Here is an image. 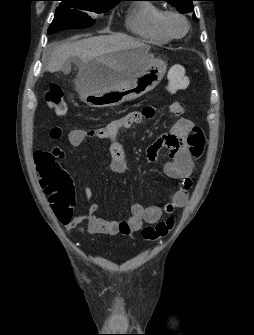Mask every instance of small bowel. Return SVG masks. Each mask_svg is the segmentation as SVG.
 Wrapping results in <instances>:
<instances>
[{"label":"small bowel","instance_id":"c3829d8e","mask_svg":"<svg viewBox=\"0 0 254 335\" xmlns=\"http://www.w3.org/2000/svg\"><path fill=\"white\" fill-rule=\"evenodd\" d=\"M179 100L174 98L167 110L168 115H184V108H180ZM154 110L151 107L140 111L130 112L122 117L109 122L105 127L98 129H74L68 134V141L72 147H78L90 139L105 140L109 144L110 162L109 169L113 173H123L127 169L126 154L122 144L118 140V134L123 129L131 128L139 124L142 119L151 117ZM193 124L189 119L180 117L173 125L169 134L161 136L146 149L147 159L155 161L162 149L168 150L169 160L164 166L165 174L179 181L178 188L170 195L169 202L164 207L156 205L143 206L139 202H133L130 206L131 217L126 221L105 220L95 215L98 204L90 203L84 214L74 216L72 207L64 206L59 220L66 230H72L84 219L88 220V230L91 233H100L110 236L129 235L138 232L144 223H157L163 213H171L175 208L183 207L188 202V192L192 181L190 178L193 162L187 148V137ZM63 131L54 126L50 129L49 137L52 140L62 138ZM59 158H63L61 152ZM91 190H85V198L90 200ZM50 205L52 200L48 198Z\"/></svg>","mask_w":254,"mask_h":335}]
</instances>
